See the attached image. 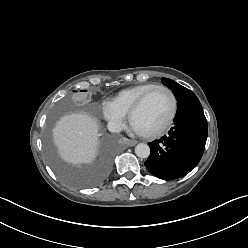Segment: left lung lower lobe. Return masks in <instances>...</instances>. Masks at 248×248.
I'll return each mask as SVG.
<instances>
[{
  "label": "left lung lower lobe",
  "mask_w": 248,
  "mask_h": 248,
  "mask_svg": "<svg viewBox=\"0 0 248 248\" xmlns=\"http://www.w3.org/2000/svg\"><path fill=\"white\" fill-rule=\"evenodd\" d=\"M207 120L191 92L177 102L174 126L168 135L149 143L151 153L145 166L154 176L173 180L188 174L199 163L207 139Z\"/></svg>",
  "instance_id": "1"
}]
</instances>
